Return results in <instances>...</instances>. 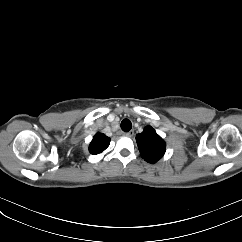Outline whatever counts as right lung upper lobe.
I'll use <instances>...</instances> for the list:
<instances>
[{"label": "right lung upper lobe", "instance_id": "cb5924a9", "mask_svg": "<svg viewBox=\"0 0 242 242\" xmlns=\"http://www.w3.org/2000/svg\"><path fill=\"white\" fill-rule=\"evenodd\" d=\"M110 144V138L105 134L97 133L90 143L89 151L91 154L96 155L103 152Z\"/></svg>", "mask_w": 242, "mask_h": 242}]
</instances>
